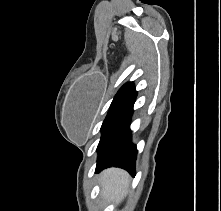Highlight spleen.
I'll return each mask as SVG.
<instances>
[{"instance_id": "obj_1", "label": "spleen", "mask_w": 221, "mask_h": 211, "mask_svg": "<svg viewBox=\"0 0 221 211\" xmlns=\"http://www.w3.org/2000/svg\"><path fill=\"white\" fill-rule=\"evenodd\" d=\"M101 196L107 203H119L127 194L129 175L120 169H109L102 173Z\"/></svg>"}]
</instances>
